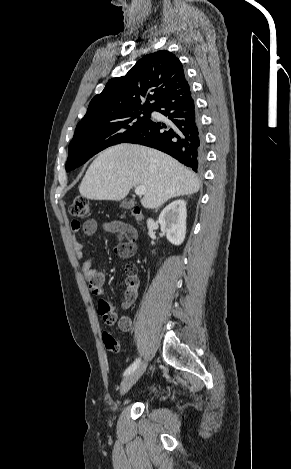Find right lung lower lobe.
Returning <instances> with one entry per match:
<instances>
[{"instance_id": "obj_1", "label": "right lung lower lobe", "mask_w": 291, "mask_h": 469, "mask_svg": "<svg viewBox=\"0 0 291 469\" xmlns=\"http://www.w3.org/2000/svg\"><path fill=\"white\" fill-rule=\"evenodd\" d=\"M166 124L149 120L123 143L146 145L163 151L197 172L204 162V140L189 85L170 92L154 109Z\"/></svg>"}]
</instances>
